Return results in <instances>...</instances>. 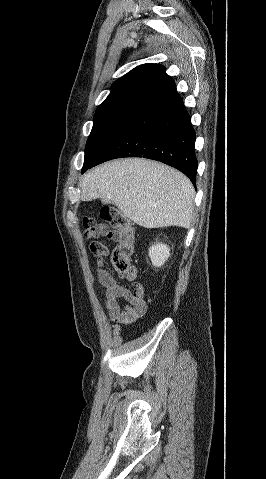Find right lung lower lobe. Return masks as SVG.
<instances>
[{"label":"right lung lower lobe","instance_id":"98d812e1","mask_svg":"<svg viewBox=\"0 0 266 479\" xmlns=\"http://www.w3.org/2000/svg\"><path fill=\"white\" fill-rule=\"evenodd\" d=\"M195 140L190 116L174 89L139 111L89 168L115 158L144 157L180 170L195 186L198 167Z\"/></svg>","mask_w":266,"mask_h":479}]
</instances>
